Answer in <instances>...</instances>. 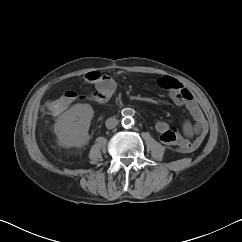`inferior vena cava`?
Instances as JSON below:
<instances>
[{"label":"inferior vena cava","mask_w":242,"mask_h":242,"mask_svg":"<svg viewBox=\"0 0 242 242\" xmlns=\"http://www.w3.org/2000/svg\"><path fill=\"white\" fill-rule=\"evenodd\" d=\"M105 125L108 129H113L118 125V120L114 117L108 118Z\"/></svg>","instance_id":"obj_1"}]
</instances>
